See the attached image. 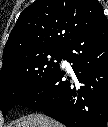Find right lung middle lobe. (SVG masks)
<instances>
[{"mask_svg":"<svg viewBox=\"0 0 108 127\" xmlns=\"http://www.w3.org/2000/svg\"><path fill=\"white\" fill-rule=\"evenodd\" d=\"M64 50H50L17 56L0 71V109L5 116L27 95L44 84L59 67Z\"/></svg>","mask_w":108,"mask_h":127,"instance_id":"dd1d6c3e","label":"right lung middle lobe"}]
</instances>
